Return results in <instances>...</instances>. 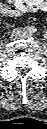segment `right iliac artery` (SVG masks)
Instances as JSON below:
<instances>
[{"label":"right iliac artery","mask_w":47,"mask_h":129,"mask_svg":"<svg viewBox=\"0 0 47 129\" xmlns=\"http://www.w3.org/2000/svg\"><path fill=\"white\" fill-rule=\"evenodd\" d=\"M26 31L29 33H34L36 31V28L34 26L26 27Z\"/></svg>","instance_id":"1"}]
</instances>
